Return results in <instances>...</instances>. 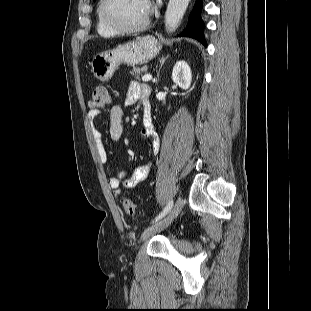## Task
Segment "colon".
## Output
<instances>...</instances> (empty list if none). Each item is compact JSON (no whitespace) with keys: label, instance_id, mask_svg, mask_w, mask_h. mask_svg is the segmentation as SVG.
Here are the masks:
<instances>
[{"label":"colon","instance_id":"5ec220e1","mask_svg":"<svg viewBox=\"0 0 311 311\" xmlns=\"http://www.w3.org/2000/svg\"><path fill=\"white\" fill-rule=\"evenodd\" d=\"M110 104V98L108 94V90L103 85H97L91 95L90 99V107L92 109H106ZM121 204L123 206L124 211L129 215L130 217H136L137 216V209L134 204V202L126 197L121 198Z\"/></svg>","mask_w":311,"mask_h":311}]
</instances>
